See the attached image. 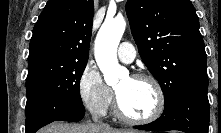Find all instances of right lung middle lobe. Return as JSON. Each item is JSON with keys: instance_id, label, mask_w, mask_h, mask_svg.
Masks as SVG:
<instances>
[{"instance_id": "dd1d6c3e", "label": "right lung middle lobe", "mask_w": 221, "mask_h": 133, "mask_svg": "<svg viewBox=\"0 0 221 133\" xmlns=\"http://www.w3.org/2000/svg\"><path fill=\"white\" fill-rule=\"evenodd\" d=\"M87 62L49 67L27 76V96L35 94L53 103L79 102V82Z\"/></svg>"}]
</instances>
